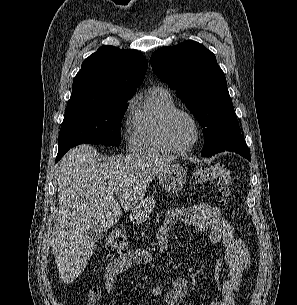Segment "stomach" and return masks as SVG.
I'll list each match as a JSON object with an SVG mask.
<instances>
[{
	"instance_id": "obj_1",
	"label": "stomach",
	"mask_w": 297,
	"mask_h": 305,
	"mask_svg": "<svg viewBox=\"0 0 297 305\" xmlns=\"http://www.w3.org/2000/svg\"><path fill=\"white\" fill-rule=\"evenodd\" d=\"M187 171L178 164H170L159 172V183L167 192H177L182 189L186 182ZM156 200L153 195L143 199L131 213V221L136 223L144 222L155 207Z\"/></svg>"
}]
</instances>
